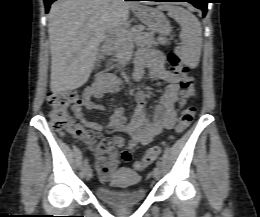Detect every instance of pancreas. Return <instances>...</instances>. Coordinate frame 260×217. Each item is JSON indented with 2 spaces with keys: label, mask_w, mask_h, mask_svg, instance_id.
Returning a JSON list of instances; mask_svg holds the SVG:
<instances>
[{
  "label": "pancreas",
  "mask_w": 260,
  "mask_h": 217,
  "mask_svg": "<svg viewBox=\"0 0 260 217\" xmlns=\"http://www.w3.org/2000/svg\"><path fill=\"white\" fill-rule=\"evenodd\" d=\"M167 39L159 37L157 41L153 32H144L142 27L133 28L122 27L113 37L109 38L105 46L113 51L119 60H123L127 51L134 45L138 46H157L164 44Z\"/></svg>",
  "instance_id": "1"
}]
</instances>
